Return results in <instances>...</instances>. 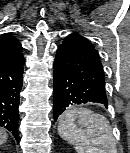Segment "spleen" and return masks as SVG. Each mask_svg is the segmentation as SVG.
I'll return each mask as SVG.
<instances>
[{
	"instance_id": "obj_1",
	"label": "spleen",
	"mask_w": 130,
	"mask_h": 153,
	"mask_svg": "<svg viewBox=\"0 0 130 153\" xmlns=\"http://www.w3.org/2000/svg\"><path fill=\"white\" fill-rule=\"evenodd\" d=\"M58 133L77 153H116L109 121L87 109H68L60 117Z\"/></svg>"
}]
</instances>
